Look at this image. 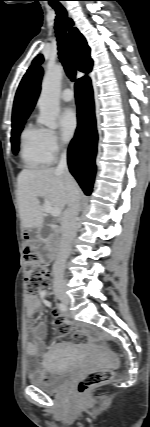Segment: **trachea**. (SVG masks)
<instances>
[{
	"label": "trachea",
	"instance_id": "obj_1",
	"mask_svg": "<svg viewBox=\"0 0 150 427\" xmlns=\"http://www.w3.org/2000/svg\"><path fill=\"white\" fill-rule=\"evenodd\" d=\"M50 5L56 11L55 32L57 37L58 55L60 61L63 64L67 77L70 79V81H75L76 69L69 52L65 29V23L68 24L70 19L67 18V12L61 4L55 2L50 3Z\"/></svg>",
	"mask_w": 150,
	"mask_h": 427
}]
</instances>
